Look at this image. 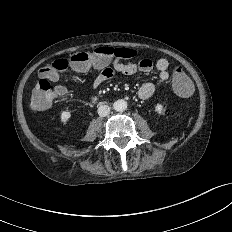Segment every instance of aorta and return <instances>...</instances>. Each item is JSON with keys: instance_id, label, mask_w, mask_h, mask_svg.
<instances>
[{"instance_id": "1", "label": "aorta", "mask_w": 232, "mask_h": 232, "mask_svg": "<svg viewBox=\"0 0 232 232\" xmlns=\"http://www.w3.org/2000/svg\"><path fill=\"white\" fill-rule=\"evenodd\" d=\"M113 108L119 112L125 111L127 108V102L123 99H119L114 102Z\"/></svg>"}]
</instances>
